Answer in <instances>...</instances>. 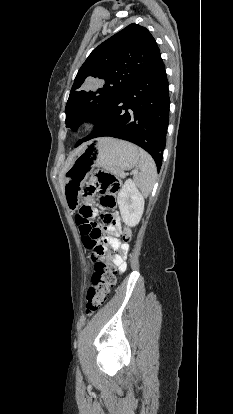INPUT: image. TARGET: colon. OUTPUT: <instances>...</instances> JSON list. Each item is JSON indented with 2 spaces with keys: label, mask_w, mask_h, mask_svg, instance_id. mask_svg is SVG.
Listing matches in <instances>:
<instances>
[{
  "label": "colon",
  "mask_w": 233,
  "mask_h": 414,
  "mask_svg": "<svg viewBox=\"0 0 233 414\" xmlns=\"http://www.w3.org/2000/svg\"><path fill=\"white\" fill-rule=\"evenodd\" d=\"M119 188L120 180L116 176L99 170L91 177L85 189V195H91L95 192L100 193L102 207L105 210H110L115 206V194ZM90 217L91 211L89 207L86 205L81 206L76 220L82 233L83 243L87 247L93 248L97 255L104 254L108 258L113 257L116 251L115 248L109 239L100 240L101 231L90 223ZM131 238V230L125 228L122 236V245L127 246ZM115 281L116 271L111 261L96 260L91 286L88 288L86 294V310L88 314H93L105 304Z\"/></svg>",
  "instance_id": "5ec220e1"
}]
</instances>
